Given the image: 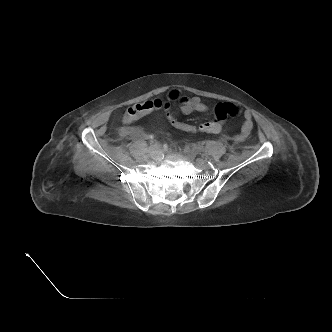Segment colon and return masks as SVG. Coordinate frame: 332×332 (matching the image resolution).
Instances as JSON below:
<instances>
[{"instance_id": "1", "label": "colon", "mask_w": 332, "mask_h": 332, "mask_svg": "<svg viewBox=\"0 0 332 332\" xmlns=\"http://www.w3.org/2000/svg\"><path fill=\"white\" fill-rule=\"evenodd\" d=\"M164 110L169 124L177 130L186 133H217L221 130L224 122L229 117H236L240 114V109L230 103H220L215 109L210 120L200 123L199 125L189 124L178 118L171 110L170 104L161 99H151L136 103L130 106L124 113L123 120L130 123L141 116L152 112Z\"/></svg>"}]
</instances>
